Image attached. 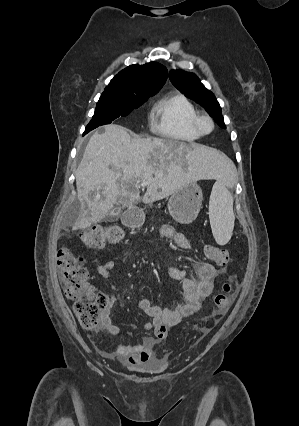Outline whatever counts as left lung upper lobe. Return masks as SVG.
I'll return each instance as SVG.
<instances>
[{
  "label": "left lung upper lobe",
  "mask_w": 299,
  "mask_h": 426,
  "mask_svg": "<svg viewBox=\"0 0 299 426\" xmlns=\"http://www.w3.org/2000/svg\"><path fill=\"white\" fill-rule=\"evenodd\" d=\"M169 78L178 90L202 105L220 127L226 128L221 107L214 94L203 86L195 74L183 70H172Z\"/></svg>",
  "instance_id": "5c2ea615"
}]
</instances>
